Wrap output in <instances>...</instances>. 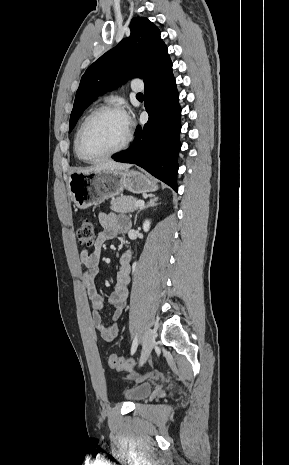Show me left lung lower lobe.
Listing matches in <instances>:
<instances>
[{"label":"left lung lower lobe","instance_id":"0a47b994","mask_svg":"<svg viewBox=\"0 0 289 465\" xmlns=\"http://www.w3.org/2000/svg\"><path fill=\"white\" fill-rule=\"evenodd\" d=\"M144 93L149 120L143 128H136L132 147L114 154L112 158L144 168L177 191L181 109L172 71L145 85Z\"/></svg>","mask_w":289,"mask_h":465}]
</instances>
